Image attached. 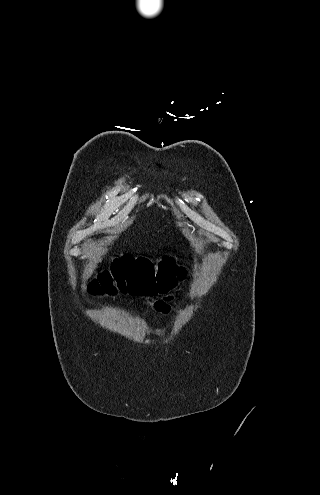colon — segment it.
Here are the masks:
<instances>
[{"label": "colon", "mask_w": 320, "mask_h": 495, "mask_svg": "<svg viewBox=\"0 0 320 495\" xmlns=\"http://www.w3.org/2000/svg\"><path fill=\"white\" fill-rule=\"evenodd\" d=\"M181 276L173 258L166 257L155 266L146 258L124 255L91 281L89 291L96 295L113 294L118 290L154 294L169 290Z\"/></svg>", "instance_id": "5ec220e1"}]
</instances>
